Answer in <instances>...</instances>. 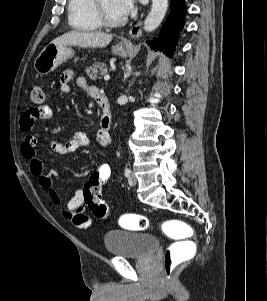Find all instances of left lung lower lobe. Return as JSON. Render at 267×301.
Instances as JSON below:
<instances>
[{
	"label": "left lung lower lobe",
	"mask_w": 267,
	"mask_h": 301,
	"mask_svg": "<svg viewBox=\"0 0 267 301\" xmlns=\"http://www.w3.org/2000/svg\"><path fill=\"white\" fill-rule=\"evenodd\" d=\"M170 14L164 24L158 39L149 41L152 49L163 51L168 56H172L175 46L177 45V39L179 31L183 28L185 23V14L187 11L184 0H170Z\"/></svg>",
	"instance_id": "obj_1"
}]
</instances>
